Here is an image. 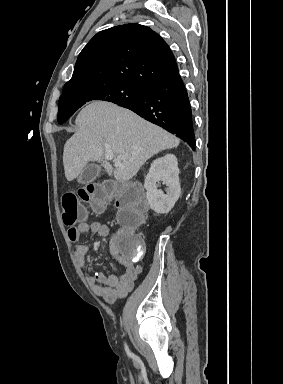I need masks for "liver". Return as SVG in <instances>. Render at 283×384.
Segmentation results:
<instances>
[{
  "instance_id": "1",
  "label": "liver",
  "mask_w": 283,
  "mask_h": 384,
  "mask_svg": "<svg viewBox=\"0 0 283 384\" xmlns=\"http://www.w3.org/2000/svg\"><path fill=\"white\" fill-rule=\"evenodd\" d=\"M75 124L79 130L67 140L63 150L68 182L82 174L88 162H100L117 182H127L154 154L180 144L176 136L111 102H90L79 112ZM106 150L123 156L115 170L104 160Z\"/></svg>"
}]
</instances>
